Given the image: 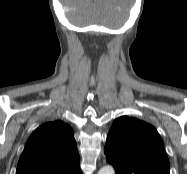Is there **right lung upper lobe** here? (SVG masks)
Instances as JSON below:
<instances>
[{"label":"right lung upper lobe","instance_id":"right-lung-upper-lobe-1","mask_svg":"<svg viewBox=\"0 0 187 174\" xmlns=\"http://www.w3.org/2000/svg\"><path fill=\"white\" fill-rule=\"evenodd\" d=\"M16 174H82L72 128L62 121L37 128L26 143Z\"/></svg>","mask_w":187,"mask_h":174}]
</instances>
